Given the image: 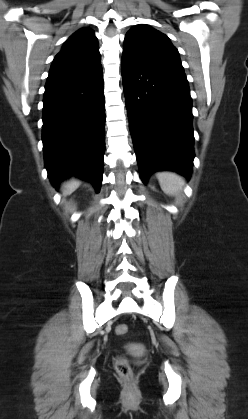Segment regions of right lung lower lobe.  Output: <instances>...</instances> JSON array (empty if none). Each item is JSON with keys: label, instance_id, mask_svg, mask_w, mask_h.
Returning a JSON list of instances; mask_svg holds the SVG:
<instances>
[{"label": "right lung lower lobe", "instance_id": "98d812e1", "mask_svg": "<svg viewBox=\"0 0 248 419\" xmlns=\"http://www.w3.org/2000/svg\"><path fill=\"white\" fill-rule=\"evenodd\" d=\"M101 65L68 79L47 81L42 141L54 186L70 175L100 190L105 150V101Z\"/></svg>", "mask_w": 248, "mask_h": 419}]
</instances>
